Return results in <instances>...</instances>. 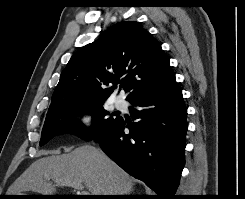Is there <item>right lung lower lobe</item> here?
Here are the masks:
<instances>
[{"instance_id": "obj_1", "label": "right lung lower lobe", "mask_w": 245, "mask_h": 199, "mask_svg": "<svg viewBox=\"0 0 245 199\" xmlns=\"http://www.w3.org/2000/svg\"><path fill=\"white\" fill-rule=\"evenodd\" d=\"M135 122L119 117L95 139L103 152L158 195L175 199L185 164L187 109L176 80L156 93L129 101ZM128 128L126 134L124 129Z\"/></svg>"}]
</instances>
